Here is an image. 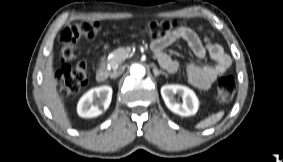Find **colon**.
<instances>
[{
    "label": "colon",
    "mask_w": 283,
    "mask_h": 162,
    "mask_svg": "<svg viewBox=\"0 0 283 162\" xmlns=\"http://www.w3.org/2000/svg\"><path fill=\"white\" fill-rule=\"evenodd\" d=\"M185 27L172 20H155L143 25L142 30L156 38ZM100 32V24L96 21H84L67 26L60 33L61 68L56 73L59 94L67 97L78 93L88 80V65L85 60L79 59L77 43L80 39H95ZM210 35H208L209 37ZM236 91V82L232 76L222 77L216 87V101L226 103L232 100Z\"/></svg>",
    "instance_id": "obj_1"
}]
</instances>
